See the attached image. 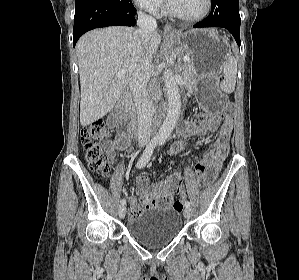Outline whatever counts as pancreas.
Listing matches in <instances>:
<instances>
[{"label":"pancreas","instance_id":"pancreas-1","mask_svg":"<svg viewBox=\"0 0 299 280\" xmlns=\"http://www.w3.org/2000/svg\"><path fill=\"white\" fill-rule=\"evenodd\" d=\"M182 75L187 83V87L192 88L197 77L192 60L184 62L182 66Z\"/></svg>","mask_w":299,"mask_h":280}]
</instances>
